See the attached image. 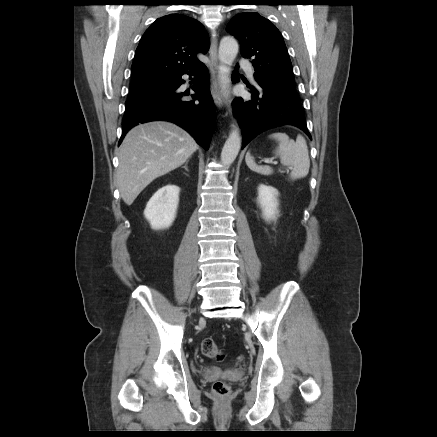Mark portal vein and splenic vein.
<instances>
[{
	"instance_id": "obj_1",
	"label": "portal vein and splenic vein",
	"mask_w": 437,
	"mask_h": 437,
	"mask_svg": "<svg viewBox=\"0 0 437 437\" xmlns=\"http://www.w3.org/2000/svg\"><path fill=\"white\" fill-rule=\"evenodd\" d=\"M265 162H266V163H272V164H274V165H276V164H277V162H276V161H271V160H265Z\"/></svg>"
}]
</instances>
